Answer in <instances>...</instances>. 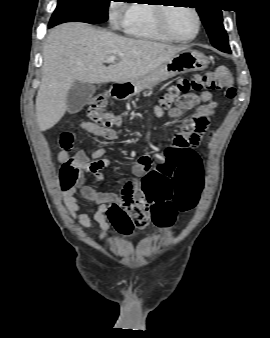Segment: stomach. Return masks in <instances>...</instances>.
<instances>
[{
	"instance_id": "stomach-1",
	"label": "stomach",
	"mask_w": 270,
	"mask_h": 338,
	"mask_svg": "<svg viewBox=\"0 0 270 338\" xmlns=\"http://www.w3.org/2000/svg\"><path fill=\"white\" fill-rule=\"evenodd\" d=\"M208 66L207 58L200 52L185 49L146 75L121 84L126 95H133L169 78L191 71H202Z\"/></svg>"
}]
</instances>
